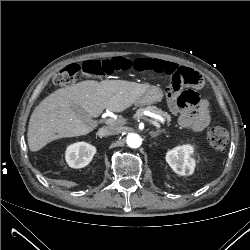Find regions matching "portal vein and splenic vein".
<instances>
[{
  "label": "portal vein and splenic vein",
  "instance_id": "portal-vein-and-splenic-vein-1",
  "mask_svg": "<svg viewBox=\"0 0 250 250\" xmlns=\"http://www.w3.org/2000/svg\"><path fill=\"white\" fill-rule=\"evenodd\" d=\"M155 118L156 119H159L161 122H164V119L161 117V116H159V115H156L155 116ZM146 119V118H145ZM155 127H157V128H160V124L157 122V121H153V120H149ZM116 121L114 120V119H108V120H106V123L107 124H113V123H115Z\"/></svg>",
  "mask_w": 250,
  "mask_h": 250
}]
</instances>
